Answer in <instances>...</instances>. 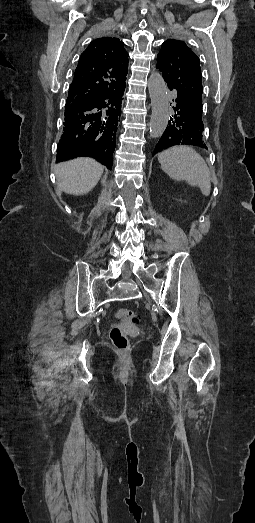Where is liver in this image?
<instances>
[{"label": "liver", "instance_id": "liver-1", "mask_svg": "<svg viewBox=\"0 0 255 523\" xmlns=\"http://www.w3.org/2000/svg\"><path fill=\"white\" fill-rule=\"evenodd\" d=\"M103 170L104 166L93 158H76L57 164L54 172L62 192L72 196H84L98 184Z\"/></svg>", "mask_w": 255, "mask_h": 523}]
</instances>
